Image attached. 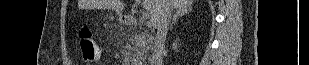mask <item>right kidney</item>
<instances>
[{
    "mask_svg": "<svg viewBox=\"0 0 309 65\" xmlns=\"http://www.w3.org/2000/svg\"><path fill=\"white\" fill-rule=\"evenodd\" d=\"M179 39H176L175 42L173 43V50L177 51V44H178Z\"/></svg>",
    "mask_w": 309,
    "mask_h": 65,
    "instance_id": "1",
    "label": "right kidney"
}]
</instances>
